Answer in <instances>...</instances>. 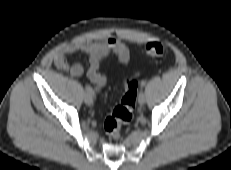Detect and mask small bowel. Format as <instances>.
Listing matches in <instances>:
<instances>
[{
  "mask_svg": "<svg viewBox=\"0 0 231 170\" xmlns=\"http://www.w3.org/2000/svg\"><path fill=\"white\" fill-rule=\"evenodd\" d=\"M84 53L89 60L87 69L88 79L99 91L106 86L108 78L99 72L102 60L111 53L118 56L121 65H127L130 61L129 47L117 38L110 37L96 42H75L61 47L55 54L54 65L64 71H68L74 77H80L84 73L82 65L69 64L67 56L73 53Z\"/></svg>",
  "mask_w": 231,
  "mask_h": 170,
  "instance_id": "obj_1",
  "label": "small bowel"
}]
</instances>
